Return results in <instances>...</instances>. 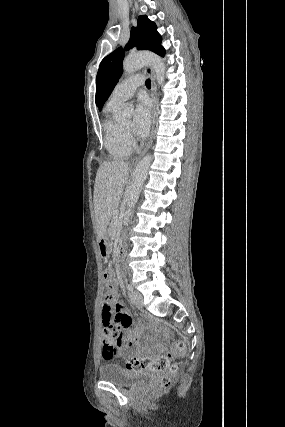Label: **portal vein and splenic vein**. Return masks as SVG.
I'll use <instances>...</instances> for the list:
<instances>
[{
  "label": "portal vein and splenic vein",
  "instance_id": "obj_1",
  "mask_svg": "<svg viewBox=\"0 0 285 427\" xmlns=\"http://www.w3.org/2000/svg\"><path fill=\"white\" fill-rule=\"evenodd\" d=\"M114 214H118V211L116 210V211H114Z\"/></svg>",
  "mask_w": 285,
  "mask_h": 427
}]
</instances>
